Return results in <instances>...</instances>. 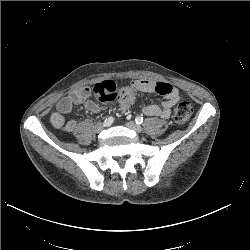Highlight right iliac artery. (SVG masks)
<instances>
[{"mask_svg": "<svg viewBox=\"0 0 250 250\" xmlns=\"http://www.w3.org/2000/svg\"><path fill=\"white\" fill-rule=\"evenodd\" d=\"M113 121H114V118L111 116V117H109V118H106L105 119V126H109V125H111L112 123H113Z\"/></svg>", "mask_w": 250, "mask_h": 250, "instance_id": "right-iliac-artery-1", "label": "right iliac artery"}]
</instances>
